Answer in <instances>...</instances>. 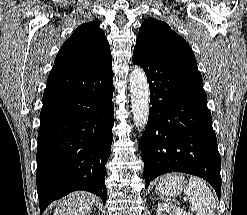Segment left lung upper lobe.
<instances>
[{
	"label": "left lung upper lobe",
	"mask_w": 247,
	"mask_h": 215,
	"mask_svg": "<svg viewBox=\"0 0 247 215\" xmlns=\"http://www.w3.org/2000/svg\"><path fill=\"white\" fill-rule=\"evenodd\" d=\"M135 47L166 61L197 65L187 42L168 24L154 18L146 19L141 25Z\"/></svg>",
	"instance_id": "obj_1"
}]
</instances>
